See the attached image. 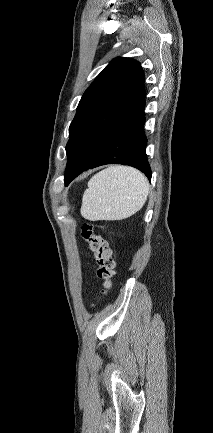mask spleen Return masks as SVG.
<instances>
[{"mask_svg":"<svg viewBox=\"0 0 213 433\" xmlns=\"http://www.w3.org/2000/svg\"><path fill=\"white\" fill-rule=\"evenodd\" d=\"M149 183L138 170L110 166L88 182L81 214L90 221L122 220L138 212L147 200Z\"/></svg>","mask_w":213,"mask_h":433,"instance_id":"3e777b00","label":"spleen"}]
</instances>
